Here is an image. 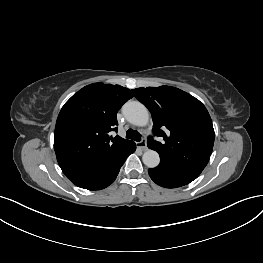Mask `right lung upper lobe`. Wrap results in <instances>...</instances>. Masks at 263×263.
<instances>
[{
	"instance_id": "cb5924a9",
	"label": "right lung upper lobe",
	"mask_w": 263,
	"mask_h": 263,
	"mask_svg": "<svg viewBox=\"0 0 263 263\" xmlns=\"http://www.w3.org/2000/svg\"><path fill=\"white\" fill-rule=\"evenodd\" d=\"M132 97L128 88L93 83L64 104L56 121L54 149L66 176L93 169L133 143L110 136L117 131L118 110Z\"/></svg>"
}]
</instances>
